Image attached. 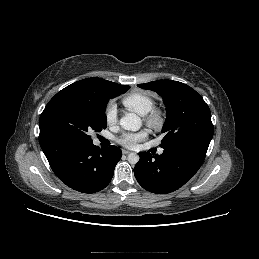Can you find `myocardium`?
<instances>
[{"label": "myocardium", "mask_w": 259, "mask_h": 259, "mask_svg": "<svg viewBox=\"0 0 259 259\" xmlns=\"http://www.w3.org/2000/svg\"><path fill=\"white\" fill-rule=\"evenodd\" d=\"M145 122L152 129L160 130L164 126V123H165V114L160 109L152 108L145 115Z\"/></svg>", "instance_id": "f54148a6"}]
</instances>
